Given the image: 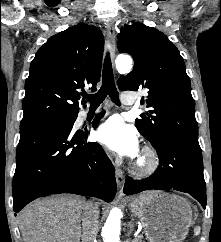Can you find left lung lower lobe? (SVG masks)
Wrapping results in <instances>:
<instances>
[{
    "label": "left lung lower lobe",
    "instance_id": "1",
    "mask_svg": "<svg viewBox=\"0 0 221 242\" xmlns=\"http://www.w3.org/2000/svg\"><path fill=\"white\" fill-rule=\"evenodd\" d=\"M153 146L160 160L158 169L147 179L127 178L124 193L172 189L190 194L205 208L206 183L198 137L170 133L164 135L158 144Z\"/></svg>",
    "mask_w": 221,
    "mask_h": 242
}]
</instances>
